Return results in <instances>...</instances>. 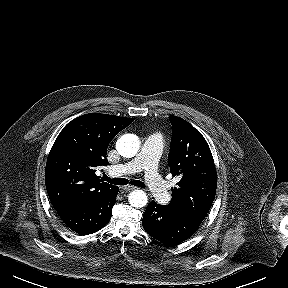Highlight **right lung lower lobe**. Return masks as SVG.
I'll list each match as a JSON object with an SVG mask.
<instances>
[{"label": "right lung lower lobe", "mask_w": 288, "mask_h": 288, "mask_svg": "<svg viewBox=\"0 0 288 288\" xmlns=\"http://www.w3.org/2000/svg\"><path fill=\"white\" fill-rule=\"evenodd\" d=\"M118 191L115 187L93 200L56 211L71 230L80 235L92 234L110 221Z\"/></svg>", "instance_id": "1"}]
</instances>
